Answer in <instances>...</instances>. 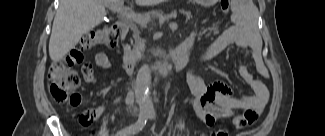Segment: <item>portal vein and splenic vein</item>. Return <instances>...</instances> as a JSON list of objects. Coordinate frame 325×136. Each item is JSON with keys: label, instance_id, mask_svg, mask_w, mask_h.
<instances>
[{"label": "portal vein and splenic vein", "instance_id": "1", "mask_svg": "<svg viewBox=\"0 0 325 136\" xmlns=\"http://www.w3.org/2000/svg\"><path fill=\"white\" fill-rule=\"evenodd\" d=\"M119 4H112V5H108L107 7L115 12V13H118L122 16H124L126 19L130 20V21H134L135 23H138V24H146L149 20H150V17L147 16V17H143L141 15H136L134 13H129L127 11L124 10L123 8V4L121 1L118 2ZM171 28H177V23H172L171 24Z\"/></svg>", "mask_w": 325, "mask_h": 136}]
</instances>
